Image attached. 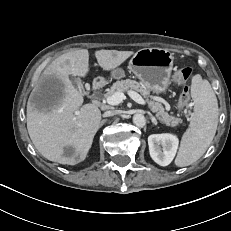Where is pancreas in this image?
<instances>
[{"label": "pancreas", "instance_id": "cf45deb5", "mask_svg": "<svg viewBox=\"0 0 231 231\" xmlns=\"http://www.w3.org/2000/svg\"><path fill=\"white\" fill-rule=\"evenodd\" d=\"M129 91L138 92L144 98H147L150 109L152 110V112L156 113V117L160 121V123L165 124L167 126H177L182 122L180 118L170 116L165 111L163 105L160 102L149 101L148 97L150 94V90L146 85L137 82L135 80L126 79V80L116 81L107 90L105 97L107 98L108 96H111L116 92L126 93Z\"/></svg>", "mask_w": 231, "mask_h": 231}]
</instances>
